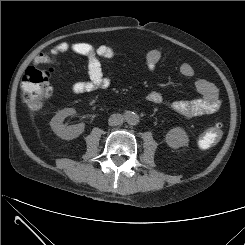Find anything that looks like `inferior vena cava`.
<instances>
[{
    "label": "inferior vena cava",
    "instance_id": "602c4592",
    "mask_svg": "<svg viewBox=\"0 0 245 245\" xmlns=\"http://www.w3.org/2000/svg\"><path fill=\"white\" fill-rule=\"evenodd\" d=\"M124 117L121 114H112L108 120L110 126H117L123 123Z\"/></svg>",
    "mask_w": 245,
    "mask_h": 245
}]
</instances>
